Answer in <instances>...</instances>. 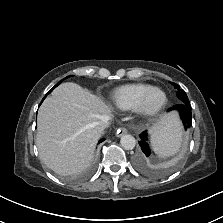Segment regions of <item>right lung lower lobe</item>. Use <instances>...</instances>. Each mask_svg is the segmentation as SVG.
<instances>
[{"label":"right lung lower lobe","instance_id":"98d812e1","mask_svg":"<svg viewBox=\"0 0 223 223\" xmlns=\"http://www.w3.org/2000/svg\"><path fill=\"white\" fill-rule=\"evenodd\" d=\"M44 98H45V97H44ZM44 98H43V100H44ZM43 100H42V101H43ZM102 141H103V139H102V140H100V141H99V143H100V142H102Z\"/></svg>","mask_w":223,"mask_h":223}]
</instances>
